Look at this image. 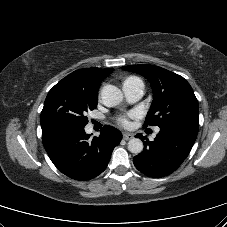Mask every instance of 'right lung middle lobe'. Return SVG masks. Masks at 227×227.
Here are the masks:
<instances>
[{
	"label": "right lung middle lobe",
	"instance_id": "1",
	"mask_svg": "<svg viewBox=\"0 0 227 227\" xmlns=\"http://www.w3.org/2000/svg\"><path fill=\"white\" fill-rule=\"evenodd\" d=\"M97 93L59 82L48 93L40 116L41 127H85L86 112L96 108Z\"/></svg>",
	"mask_w": 227,
	"mask_h": 227
}]
</instances>
